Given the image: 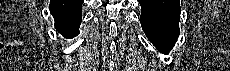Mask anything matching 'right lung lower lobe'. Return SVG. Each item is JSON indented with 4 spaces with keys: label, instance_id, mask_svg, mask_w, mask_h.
Masks as SVG:
<instances>
[{
    "label": "right lung lower lobe",
    "instance_id": "obj_1",
    "mask_svg": "<svg viewBox=\"0 0 230 71\" xmlns=\"http://www.w3.org/2000/svg\"><path fill=\"white\" fill-rule=\"evenodd\" d=\"M84 0H51L49 9L55 27L66 38L76 36L82 20L81 5Z\"/></svg>",
    "mask_w": 230,
    "mask_h": 71
}]
</instances>
